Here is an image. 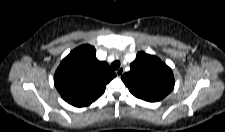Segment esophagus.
<instances>
[{"label":"esophagus","instance_id":"1","mask_svg":"<svg viewBox=\"0 0 225 132\" xmlns=\"http://www.w3.org/2000/svg\"><path fill=\"white\" fill-rule=\"evenodd\" d=\"M124 73V68L123 67H120L119 69L116 70V75L118 77L122 76Z\"/></svg>","mask_w":225,"mask_h":132}]
</instances>
